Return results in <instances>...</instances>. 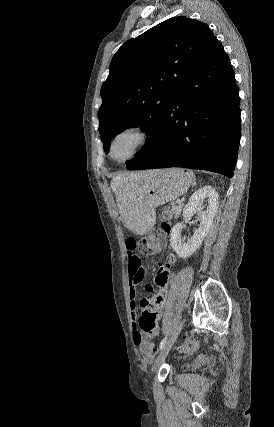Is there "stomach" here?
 I'll return each mask as SVG.
<instances>
[{"label":"stomach","mask_w":274,"mask_h":427,"mask_svg":"<svg viewBox=\"0 0 274 427\" xmlns=\"http://www.w3.org/2000/svg\"><path fill=\"white\" fill-rule=\"evenodd\" d=\"M194 182L193 172L181 168L153 170L143 174L141 178L135 176L133 182H130L132 190H126L124 202H121L120 214L125 217L133 215V231L143 235L155 225L157 206L183 196ZM125 217L124 223L129 227V221Z\"/></svg>","instance_id":"stomach-1"}]
</instances>
